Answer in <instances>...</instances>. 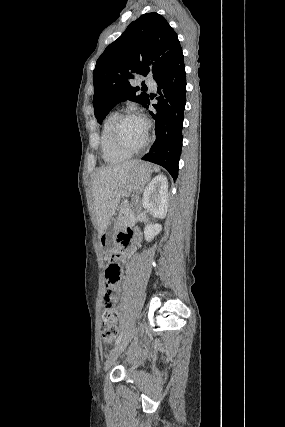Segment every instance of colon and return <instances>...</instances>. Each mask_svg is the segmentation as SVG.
I'll return each mask as SVG.
<instances>
[{
  "label": "colon",
  "instance_id": "colon-1",
  "mask_svg": "<svg viewBox=\"0 0 285 427\" xmlns=\"http://www.w3.org/2000/svg\"><path fill=\"white\" fill-rule=\"evenodd\" d=\"M117 255L110 257V262L105 268L106 295H111L112 288L117 286L121 279L120 267L115 263ZM103 325L101 328V339L103 342H111L116 336V321L118 312L111 301H106L103 305Z\"/></svg>",
  "mask_w": 285,
  "mask_h": 427
}]
</instances>
